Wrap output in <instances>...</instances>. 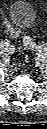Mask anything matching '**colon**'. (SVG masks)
<instances>
[{
    "instance_id": "colon-1",
    "label": "colon",
    "mask_w": 47,
    "mask_h": 129,
    "mask_svg": "<svg viewBox=\"0 0 47 129\" xmlns=\"http://www.w3.org/2000/svg\"><path fill=\"white\" fill-rule=\"evenodd\" d=\"M4 25L8 31V33L12 36V37H18L19 36V31L8 21V20H4ZM24 43L27 46H31L32 44V39L30 37H26L24 38Z\"/></svg>"
}]
</instances>
